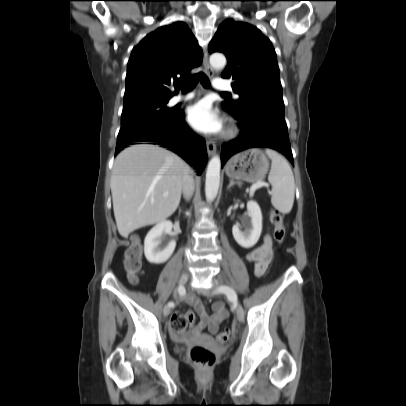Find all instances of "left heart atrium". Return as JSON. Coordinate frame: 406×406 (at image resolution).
Instances as JSON below:
<instances>
[{
  "label": "left heart atrium",
  "mask_w": 406,
  "mask_h": 406,
  "mask_svg": "<svg viewBox=\"0 0 406 406\" xmlns=\"http://www.w3.org/2000/svg\"><path fill=\"white\" fill-rule=\"evenodd\" d=\"M187 119L194 129L204 134H217L223 128L221 117L204 100L189 107Z\"/></svg>",
  "instance_id": "left-heart-atrium-1"
}]
</instances>
